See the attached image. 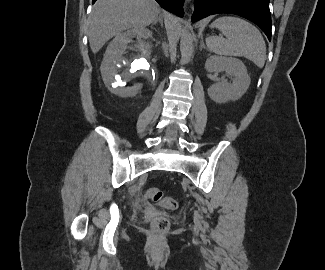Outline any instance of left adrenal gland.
<instances>
[{
  "label": "left adrenal gland",
  "mask_w": 325,
  "mask_h": 270,
  "mask_svg": "<svg viewBox=\"0 0 325 270\" xmlns=\"http://www.w3.org/2000/svg\"><path fill=\"white\" fill-rule=\"evenodd\" d=\"M206 49V47H205V44H204V41H203V39L201 40V43H200V49Z\"/></svg>",
  "instance_id": "1"
}]
</instances>
